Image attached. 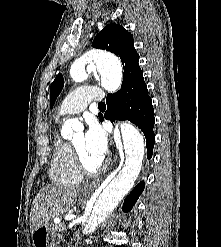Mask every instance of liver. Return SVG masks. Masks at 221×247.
<instances>
[{
	"instance_id": "liver-1",
	"label": "liver",
	"mask_w": 221,
	"mask_h": 247,
	"mask_svg": "<svg viewBox=\"0 0 221 247\" xmlns=\"http://www.w3.org/2000/svg\"><path fill=\"white\" fill-rule=\"evenodd\" d=\"M79 190L62 186H45L35 197L30 214L33 232L53 218L68 212L77 202Z\"/></svg>"
}]
</instances>
